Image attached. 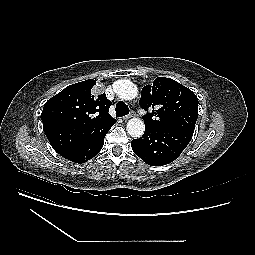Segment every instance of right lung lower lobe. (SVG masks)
Listing matches in <instances>:
<instances>
[{"label": "right lung lower lobe", "mask_w": 255, "mask_h": 255, "mask_svg": "<svg viewBox=\"0 0 255 255\" xmlns=\"http://www.w3.org/2000/svg\"><path fill=\"white\" fill-rule=\"evenodd\" d=\"M109 129L106 128L89 134L79 141L68 153L64 154L63 157L79 164L92 159L102 149L104 138Z\"/></svg>", "instance_id": "1"}]
</instances>
